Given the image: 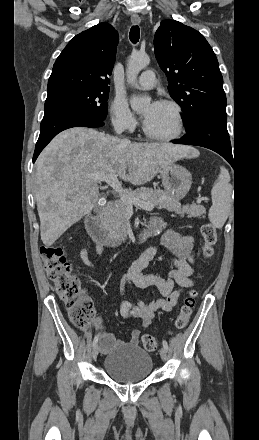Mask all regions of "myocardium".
<instances>
[{"label": "myocardium", "instance_id": "f54148a6", "mask_svg": "<svg viewBox=\"0 0 259 440\" xmlns=\"http://www.w3.org/2000/svg\"><path fill=\"white\" fill-rule=\"evenodd\" d=\"M159 104L170 106L175 115V130L170 135L160 136L152 133L146 127L145 123L143 124V132L145 136L151 140L158 142H170L177 139L183 132L184 129V118H183V110L179 103L171 99H162L159 101Z\"/></svg>", "mask_w": 259, "mask_h": 440}]
</instances>
